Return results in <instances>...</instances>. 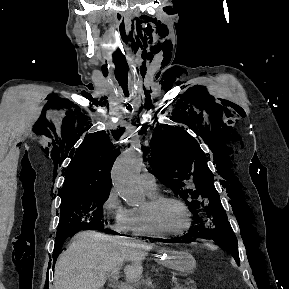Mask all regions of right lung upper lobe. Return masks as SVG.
<instances>
[{
	"label": "right lung upper lobe",
	"instance_id": "1",
	"mask_svg": "<svg viewBox=\"0 0 289 289\" xmlns=\"http://www.w3.org/2000/svg\"><path fill=\"white\" fill-rule=\"evenodd\" d=\"M118 154L104 132L85 138L64 173L66 177L60 190L61 196L110 192V170Z\"/></svg>",
	"mask_w": 289,
	"mask_h": 289
}]
</instances>
